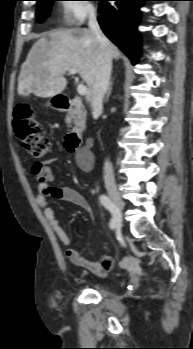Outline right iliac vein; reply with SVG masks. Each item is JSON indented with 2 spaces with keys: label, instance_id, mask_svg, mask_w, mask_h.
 <instances>
[{
  "label": "right iliac vein",
  "instance_id": "63e3f726",
  "mask_svg": "<svg viewBox=\"0 0 193 349\" xmlns=\"http://www.w3.org/2000/svg\"><path fill=\"white\" fill-rule=\"evenodd\" d=\"M108 194L110 198L112 199L115 207H116V226L121 227L122 225V211L124 208V201L119 195L118 191L115 188H109Z\"/></svg>",
  "mask_w": 193,
  "mask_h": 349
}]
</instances>
